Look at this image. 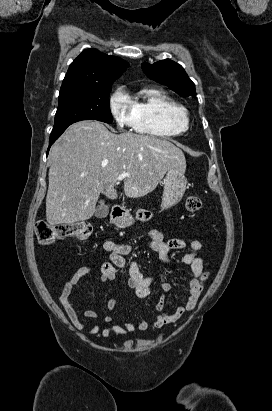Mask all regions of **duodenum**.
<instances>
[{"label": "duodenum", "instance_id": "obj_1", "mask_svg": "<svg viewBox=\"0 0 272 411\" xmlns=\"http://www.w3.org/2000/svg\"><path fill=\"white\" fill-rule=\"evenodd\" d=\"M125 209L121 206V205H115L112 209H111V214L112 217L114 219L119 218L123 213H124Z\"/></svg>", "mask_w": 272, "mask_h": 411}]
</instances>
